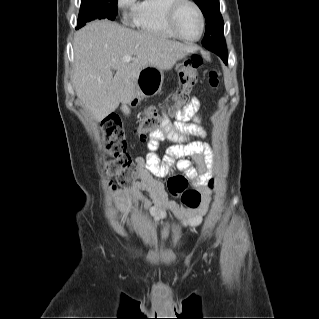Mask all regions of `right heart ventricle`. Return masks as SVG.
<instances>
[{"mask_svg": "<svg viewBox=\"0 0 319 319\" xmlns=\"http://www.w3.org/2000/svg\"><path fill=\"white\" fill-rule=\"evenodd\" d=\"M172 0H142L137 3L132 18L143 32L164 38H173L166 23V11Z\"/></svg>", "mask_w": 319, "mask_h": 319, "instance_id": "right-heart-ventricle-1", "label": "right heart ventricle"}]
</instances>
